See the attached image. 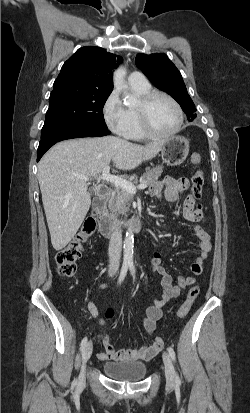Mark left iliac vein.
<instances>
[{
  "mask_svg": "<svg viewBox=\"0 0 250 413\" xmlns=\"http://www.w3.org/2000/svg\"><path fill=\"white\" fill-rule=\"evenodd\" d=\"M163 362L165 366V376L167 384L169 386H172L175 382V370L172 364L171 357L167 352L163 353Z\"/></svg>",
  "mask_w": 250,
  "mask_h": 413,
  "instance_id": "obj_1",
  "label": "left iliac vein"
}]
</instances>
